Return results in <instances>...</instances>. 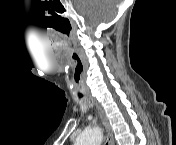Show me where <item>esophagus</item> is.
I'll list each match as a JSON object with an SVG mask.
<instances>
[{
    "label": "esophagus",
    "mask_w": 176,
    "mask_h": 145,
    "mask_svg": "<svg viewBox=\"0 0 176 145\" xmlns=\"http://www.w3.org/2000/svg\"><path fill=\"white\" fill-rule=\"evenodd\" d=\"M91 100L100 112L101 120H102L103 126L105 127V130H106V137H107L108 144L109 145H114L113 132H112V128H111V125L108 121L107 116L105 115V113L102 110L98 101L96 99L92 98V97H91Z\"/></svg>",
    "instance_id": "esophagus-1"
}]
</instances>
